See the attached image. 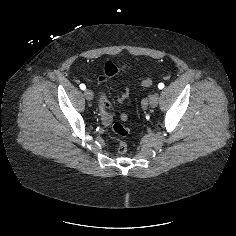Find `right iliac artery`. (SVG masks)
I'll list each match as a JSON object with an SVG mask.
<instances>
[{"label": "right iliac artery", "instance_id": "1", "mask_svg": "<svg viewBox=\"0 0 236 236\" xmlns=\"http://www.w3.org/2000/svg\"><path fill=\"white\" fill-rule=\"evenodd\" d=\"M80 89L85 90L86 86L84 84H80Z\"/></svg>", "mask_w": 236, "mask_h": 236}]
</instances>
